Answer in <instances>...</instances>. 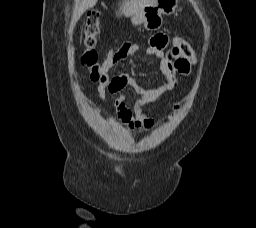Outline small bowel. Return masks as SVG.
Listing matches in <instances>:
<instances>
[{
  "instance_id": "1",
  "label": "small bowel",
  "mask_w": 256,
  "mask_h": 228,
  "mask_svg": "<svg viewBox=\"0 0 256 228\" xmlns=\"http://www.w3.org/2000/svg\"><path fill=\"white\" fill-rule=\"evenodd\" d=\"M139 50L138 44L125 42L117 49L114 58L106 57L102 63L103 75L98 84V93L101 98H105L108 94H116L126 87H131L139 95L133 108L126 104L125 95H120L115 100L116 111L121 121L130 129L153 126V120L143 111L144 105L158 101L167 93L173 91L178 85V76L189 74L191 65L174 48L169 37L159 33L151 38L146 50L148 56L155 57L159 61L163 75V80L159 85L146 88L129 74L124 73L116 76L110 74L115 64L128 57H135Z\"/></svg>"
}]
</instances>
